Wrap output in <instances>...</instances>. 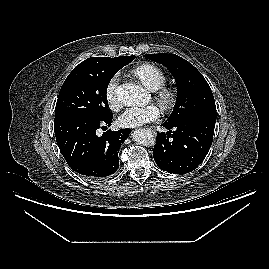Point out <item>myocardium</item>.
<instances>
[{
    "instance_id": "myocardium-1",
    "label": "myocardium",
    "mask_w": 269,
    "mask_h": 269,
    "mask_svg": "<svg viewBox=\"0 0 269 269\" xmlns=\"http://www.w3.org/2000/svg\"><path fill=\"white\" fill-rule=\"evenodd\" d=\"M155 99L163 111L171 110L176 103L174 91L167 87H161L157 90Z\"/></svg>"
}]
</instances>
